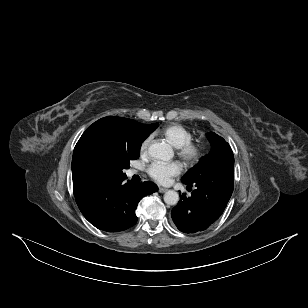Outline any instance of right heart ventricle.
I'll list each match as a JSON object with an SVG mask.
<instances>
[{
    "label": "right heart ventricle",
    "instance_id": "obj_1",
    "mask_svg": "<svg viewBox=\"0 0 308 308\" xmlns=\"http://www.w3.org/2000/svg\"><path fill=\"white\" fill-rule=\"evenodd\" d=\"M160 135L172 146L179 148L193 137L192 132L181 124L172 123L165 126Z\"/></svg>",
    "mask_w": 308,
    "mask_h": 308
}]
</instances>
